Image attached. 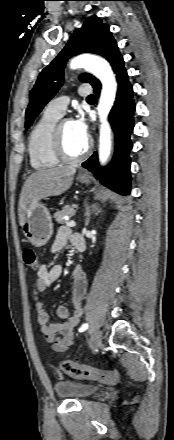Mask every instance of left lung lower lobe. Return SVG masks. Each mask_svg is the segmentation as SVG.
<instances>
[{
    "mask_svg": "<svg viewBox=\"0 0 174 440\" xmlns=\"http://www.w3.org/2000/svg\"><path fill=\"white\" fill-rule=\"evenodd\" d=\"M109 62L118 81L116 101L109 114V122L115 132V154L112 162L106 168H101L98 165L97 153H94L82 166L90 170L105 186L120 194L127 195L130 193L129 152L132 149L130 133L134 128L135 103L133 89L128 80L122 55L118 53ZM92 86L94 93L99 95L100 82L97 81Z\"/></svg>",
    "mask_w": 174,
    "mask_h": 440,
    "instance_id": "left-lung-lower-lobe-1",
    "label": "left lung lower lobe"
}]
</instances>
